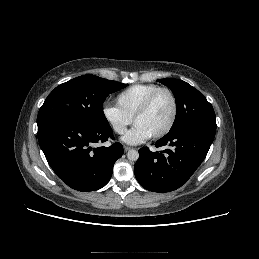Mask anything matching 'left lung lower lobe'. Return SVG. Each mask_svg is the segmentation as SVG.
Masks as SVG:
<instances>
[{"instance_id": "1", "label": "left lung lower lobe", "mask_w": 259, "mask_h": 259, "mask_svg": "<svg viewBox=\"0 0 259 259\" xmlns=\"http://www.w3.org/2000/svg\"><path fill=\"white\" fill-rule=\"evenodd\" d=\"M216 127L192 123L172 129L159 139L156 147H169L151 152L139 150L134 173L139 184L153 192H169L185 184L205 159L213 142Z\"/></svg>"}]
</instances>
